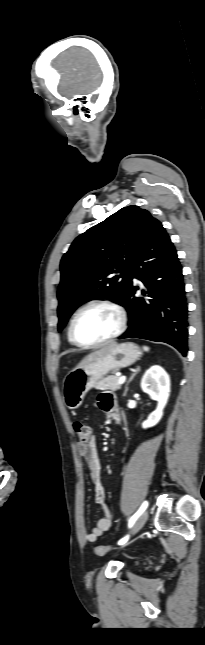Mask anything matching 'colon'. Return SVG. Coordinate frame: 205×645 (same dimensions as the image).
Instances as JSON below:
<instances>
[{
  "instance_id": "colon-1",
  "label": "colon",
  "mask_w": 205,
  "mask_h": 645,
  "mask_svg": "<svg viewBox=\"0 0 205 645\" xmlns=\"http://www.w3.org/2000/svg\"><path fill=\"white\" fill-rule=\"evenodd\" d=\"M73 429L78 436L81 443H88L91 440V429L82 421H75L73 423ZM112 547L110 545H101L94 548V553L98 556H102L110 551Z\"/></svg>"
}]
</instances>
